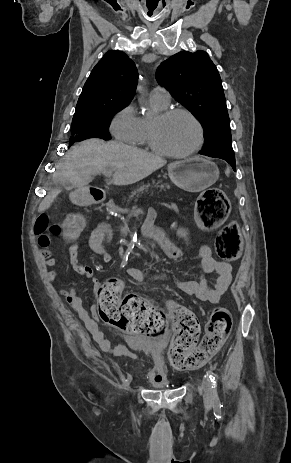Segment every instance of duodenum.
Masks as SVG:
<instances>
[{"instance_id":"obj_1","label":"duodenum","mask_w":291,"mask_h":463,"mask_svg":"<svg viewBox=\"0 0 291 463\" xmlns=\"http://www.w3.org/2000/svg\"><path fill=\"white\" fill-rule=\"evenodd\" d=\"M105 197H106L105 192L102 189L94 188L90 190V200L92 202H102L105 199ZM148 226L149 227L153 226V223L149 222ZM144 236L146 237V235Z\"/></svg>"}]
</instances>
